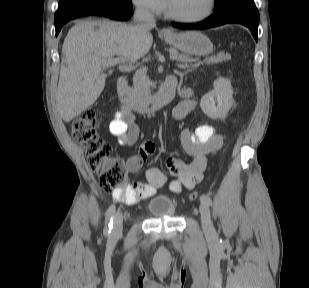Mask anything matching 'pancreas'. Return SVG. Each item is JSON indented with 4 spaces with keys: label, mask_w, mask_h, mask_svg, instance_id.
<instances>
[{
    "label": "pancreas",
    "mask_w": 309,
    "mask_h": 288,
    "mask_svg": "<svg viewBox=\"0 0 309 288\" xmlns=\"http://www.w3.org/2000/svg\"><path fill=\"white\" fill-rule=\"evenodd\" d=\"M169 52H170L171 57H174L180 62L189 61V57L187 55L180 54L175 49H170ZM230 59H231L230 54L219 53L218 55H214V56H211L205 59L203 62L206 63L207 65H211V64L222 63ZM199 63H202V62H199ZM152 87H153V84L151 80L149 79V77L146 75V70L141 69L137 71L133 79V87H132L134 96L137 99L141 100L150 95Z\"/></svg>",
    "instance_id": "cf45deb5"
}]
</instances>
